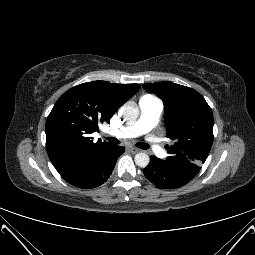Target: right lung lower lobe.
<instances>
[{
  "label": "right lung lower lobe",
  "mask_w": 255,
  "mask_h": 255,
  "mask_svg": "<svg viewBox=\"0 0 255 255\" xmlns=\"http://www.w3.org/2000/svg\"><path fill=\"white\" fill-rule=\"evenodd\" d=\"M124 147L112 145L96 157L82 162L73 170L61 174L71 185L79 188H94L103 184L111 175Z\"/></svg>",
  "instance_id": "98d812e1"
}]
</instances>
